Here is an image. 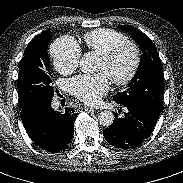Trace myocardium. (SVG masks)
<instances>
[{"label":"myocardium","mask_w":183,"mask_h":183,"mask_svg":"<svg viewBox=\"0 0 183 183\" xmlns=\"http://www.w3.org/2000/svg\"><path fill=\"white\" fill-rule=\"evenodd\" d=\"M126 49H130L133 52V63L131 69L125 76L120 78H111L112 83L117 86H124L129 84L137 75L142 60V53L139 46L133 42L127 41L116 45L109 51L100 55L101 59L106 64H110Z\"/></svg>","instance_id":"obj_1"}]
</instances>
